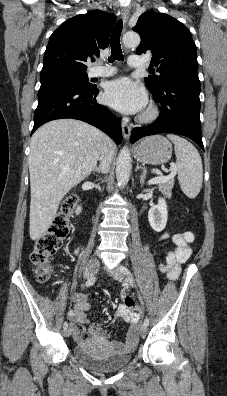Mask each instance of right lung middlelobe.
<instances>
[{
	"mask_svg": "<svg viewBox=\"0 0 227 396\" xmlns=\"http://www.w3.org/2000/svg\"><path fill=\"white\" fill-rule=\"evenodd\" d=\"M40 81L41 85L54 82H67L83 88L94 87V85L88 82V76L85 70H74L68 68L42 70Z\"/></svg>",
	"mask_w": 227,
	"mask_h": 396,
	"instance_id": "dd1d6c3e",
	"label": "right lung middle lobe"
}]
</instances>
